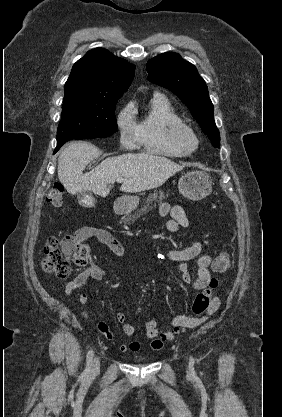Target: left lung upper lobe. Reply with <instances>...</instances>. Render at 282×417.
I'll list each match as a JSON object with an SVG mask.
<instances>
[{
	"instance_id": "obj_1",
	"label": "left lung upper lobe",
	"mask_w": 282,
	"mask_h": 417,
	"mask_svg": "<svg viewBox=\"0 0 282 417\" xmlns=\"http://www.w3.org/2000/svg\"><path fill=\"white\" fill-rule=\"evenodd\" d=\"M149 81L163 86L189 108L214 147L219 148L220 135L214 122V108L205 81L194 65L173 52L160 54L146 64Z\"/></svg>"
}]
</instances>
